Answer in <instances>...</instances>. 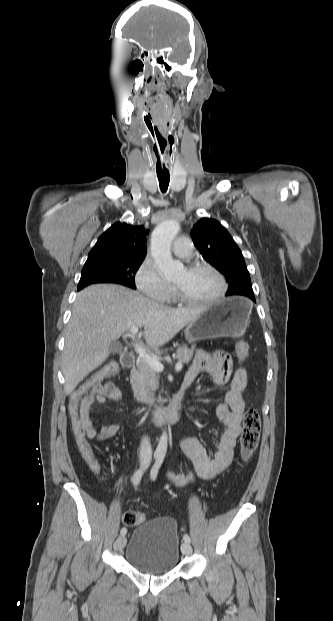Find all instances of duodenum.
I'll list each match as a JSON object with an SVG mask.
<instances>
[{"label":"duodenum","instance_id":"duodenum-1","mask_svg":"<svg viewBox=\"0 0 333 621\" xmlns=\"http://www.w3.org/2000/svg\"><path fill=\"white\" fill-rule=\"evenodd\" d=\"M121 364L126 368H131L135 365V356L132 353H126L121 357ZM184 384L182 392L177 396L175 402L167 409L153 408L147 414V423L149 424H161L167 422H176L181 415L180 404L183 400V396L186 390Z\"/></svg>","mask_w":333,"mask_h":621}]
</instances>
